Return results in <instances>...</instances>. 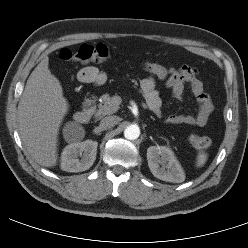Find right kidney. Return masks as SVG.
Segmentation results:
<instances>
[{"label": "right kidney", "instance_id": "ca27d5eb", "mask_svg": "<svg viewBox=\"0 0 248 248\" xmlns=\"http://www.w3.org/2000/svg\"><path fill=\"white\" fill-rule=\"evenodd\" d=\"M97 146L98 143L92 140L67 145L61 155V169L66 172H82L89 169L96 159Z\"/></svg>", "mask_w": 248, "mask_h": 248}]
</instances>
